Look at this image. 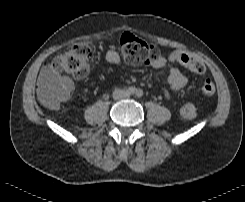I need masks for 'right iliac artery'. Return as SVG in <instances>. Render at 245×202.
<instances>
[{
	"label": "right iliac artery",
	"mask_w": 245,
	"mask_h": 202,
	"mask_svg": "<svg viewBox=\"0 0 245 202\" xmlns=\"http://www.w3.org/2000/svg\"><path fill=\"white\" fill-rule=\"evenodd\" d=\"M135 92H136V88H135V87H132V86H131V87H129V88L127 89V93L130 94V95H131V94H134Z\"/></svg>",
	"instance_id": "1"
}]
</instances>
